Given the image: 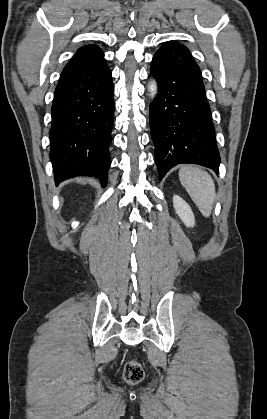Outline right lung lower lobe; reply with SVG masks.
I'll use <instances>...</instances> for the list:
<instances>
[{
	"label": "right lung lower lobe",
	"mask_w": 267,
	"mask_h": 419,
	"mask_svg": "<svg viewBox=\"0 0 267 419\" xmlns=\"http://www.w3.org/2000/svg\"><path fill=\"white\" fill-rule=\"evenodd\" d=\"M111 70L106 62H69L57 84L51 108L50 159L56 184L94 176L107 184L114 124Z\"/></svg>",
	"instance_id": "obj_1"
}]
</instances>
